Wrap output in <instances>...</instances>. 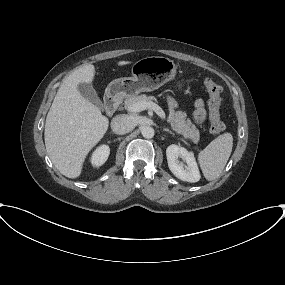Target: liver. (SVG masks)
<instances>
[{"label":"liver","instance_id":"liver-1","mask_svg":"<svg viewBox=\"0 0 285 285\" xmlns=\"http://www.w3.org/2000/svg\"><path fill=\"white\" fill-rule=\"evenodd\" d=\"M130 63L119 61L117 64ZM94 76V65L86 64L66 77L46 117L47 153L60 173L68 178L80 176L87 154L108 129V118L77 89L80 83L90 84Z\"/></svg>","mask_w":285,"mask_h":285}]
</instances>
